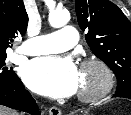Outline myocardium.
<instances>
[{
	"mask_svg": "<svg viewBox=\"0 0 131 115\" xmlns=\"http://www.w3.org/2000/svg\"><path fill=\"white\" fill-rule=\"evenodd\" d=\"M89 67H94L101 72L102 82L100 86L93 91L78 93V99L84 103H92L104 98L110 93L114 86V73L106 62L96 57L83 60L80 66L81 71Z\"/></svg>",
	"mask_w": 131,
	"mask_h": 115,
	"instance_id": "obj_1",
	"label": "myocardium"
}]
</instances>
